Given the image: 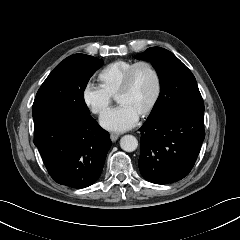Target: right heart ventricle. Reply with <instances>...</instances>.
<instances>
[{
	"label": "right heart ventricle",
	"instance_id": "1",
	"mask_svg": "<svg viewBox=\"0 0 240 240\" xmlns=\"http://www.w3.org/2000/svg\"><path fill=\"white\" fill-rule=\"evenodd\" d=\"M130 60H116L105 66L98 74L101 88L115 98L121 88L128 69L134 64Z\"/></svg>",
	"mask_w": 240,
	"mask_h": 240
}]
</instances>
